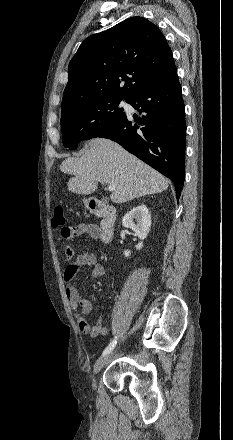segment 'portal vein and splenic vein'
<instances>
[{"label": "portal vein and splenic vein", "instance_id": "portal-vein-and-splenic-vein-1", "mask_svg": "<svg viewBox=\"0 0 233 440\" xmlns=\"http://www.w3.org/2000/svg\"><path fill=\"white\" fill-rule=\"evenodd\" d=\"M116 189V187L114 185H109L108 186V190L109 191H114Z\"/></svg>", "mask_w": 233, "mask_h": 440}]
</instances>
